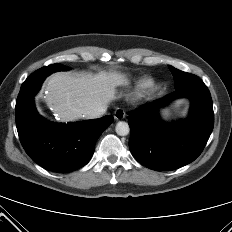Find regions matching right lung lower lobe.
Wrapping results in <instances>:
<instances>
[{
	"label": "right lung lower lobe",
	"mask_w": 232,
	"mask_h": 232,
	"mask_svg": "<svg viewBox=\"0 0 232 232\" xmlns=\"http://www.w3.org/2000/svg\"><path fill=\"white\" fill-rule=\"evenodd\" d=\"M43 80L21 86L15 113L19 138L26 153L41 167L67 173L86 165L95 143L113 122L111 115L75 123L56 124L36 111L33 96Z\"/></svg>",
	"instance_id": "right-lung-lower-lobe-1"
}]
</instances>
